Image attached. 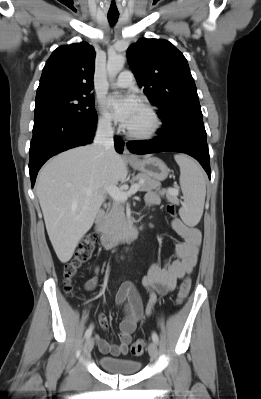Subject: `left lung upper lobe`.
<instances>
[{"instance_id":"obj_1","label":"left lung upper lobe","mask_w":261,"mask_h":399,"mask_svg":"<svg viewBox=\"0 0 261 399\" xmlns=\"http://www.w3.org/2000/svg\"><path fill=\"white\" fill-rule=\"evenodd\" d=\"M140 87L160 112L168 131L193 117H202L197 89L184 55L169 41L142 38L127 52Z\"/></svg>"}]
</instances>
